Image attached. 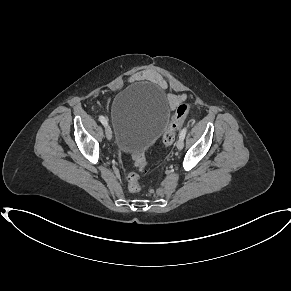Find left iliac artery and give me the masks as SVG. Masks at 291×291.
Listing matches in <instances>:
<instances>
[{"label":"left iliac artery","mask_w":291,"mask_h":291,"mask_svg":"<svg viewBox=\"0 0 291 291\" xmlns=\"http://www.w3.org/2000/svg\"><path fill=\"white\" fill-rule=\"evenodd\" d=\"M186 133H187V127H185V128L182 129V131L180 132L179 138H183L184 139Z\"/></svg>","instance_id":"obj_1"}]
</instances>
